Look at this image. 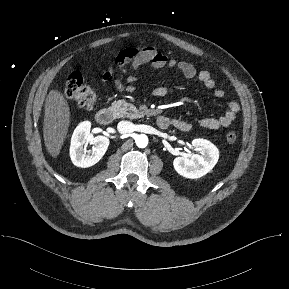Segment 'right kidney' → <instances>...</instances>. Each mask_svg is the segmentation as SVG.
<instances>
[{"instance_id": "ca27d5eb", "label": "right kidney", "mask_w": 289, "mask_h": 289, "mask_svg": "<svg viewBox=\"0 0 289 289\" xmlns=\"http://www.w3.org/2000/svg\"><path fill=\"white\" fill-rule=\"evenodd\" d=\"M91 123L81 122L74 130L71 145L70 157L77 167L87 168L95 165L105 154L109 139L105 136L93 137L90 134ZM88 143L92 144V149L87 150Z\"/></svg>"}]
</instances>
